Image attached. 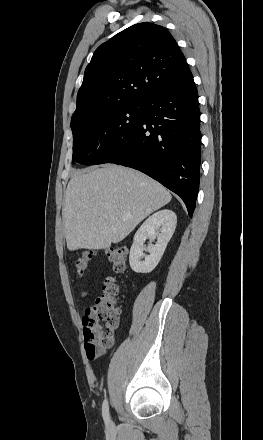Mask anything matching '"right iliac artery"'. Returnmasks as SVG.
I'll return each mask as SVG.
<instances>
[{
    "mask_svg": "<svg viewBox=\"0 0 263 440\" xmlns=\"http://www.w3.org/2000/svg\"><path fill=\"white\" fill-rule=\"evenodd\" d=\"M102 415H103L105 423L109 424L110 417H109V407H108L107 399L104 400L103 405H102Z\"/></svg>",
    "mask_w": 263,
    "mask_h": 440,
    "instance_id": "1",
    "label": "right iliac artery"
}]
</instances>
